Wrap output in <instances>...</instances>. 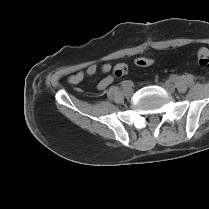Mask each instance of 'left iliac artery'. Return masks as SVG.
<instances>
[{
  "mask_svg": "<svg viewBox=\"0 0 209 209\" xmlns=\"http://www.w3.org/2000/svg\"><path fill=\"white\" fill-rule=\"evenodd\" d=\"M169 81L172 82L173 84H178L179 83V77L176 75H171L169 78Z\"/></svg>",
  "mask_w": 209,
  "mask_h": 209,
  "instance_id": "1",
  "label": "left iliac artery"
}]
</instances>
